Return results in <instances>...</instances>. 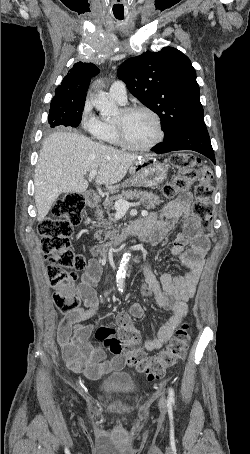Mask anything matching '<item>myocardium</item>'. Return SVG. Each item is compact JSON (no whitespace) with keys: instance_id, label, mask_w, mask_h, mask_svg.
Returning <instances> with one entry per match:
<instances>
[{"instance_id":"obj_1","label":"myocardium","mask_w":250,"mask_h":454,"mask_svg":"<svg viewBox=\"0 0 250 454\" xmlns=\"http://www.w3.org/2000/svg\"><path fill=\"white\" fill-rule=\"evenodd\" d=\"M121 111L124 115H128V114L138 112V111L148 113L149 115H151L153 117V119L155 121L156 128H157V135L147 145H144V146L134 145L128 140L123 124L120 121L115 120L113 123H114V128L116 131L117 139H118V142L120 145H122L123 147H125L126 149H129L131 151L145 152V151H149V150L155 148L158 144H160L163 141V139H164L163 124H162L160 116L153 109H151L148 106H144V105H132V106H127V107L122 108Z\"/></svg>"}]
</instances>
